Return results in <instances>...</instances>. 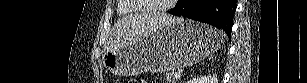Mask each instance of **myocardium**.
Instances as JSON below:
<instances>
[{"label": "myocardium", "instance_id": "myocardium-1", "mask_svg": "<svg viewBox=\"0 0 307 83\" xmlns=\"http://www.w3.org/2000/svg\"><path fill=\"white\" fill-rule=\"evenodd\" d=\"M130 2L139 9L140 12L144 13H150V14H162L167 12L173 3L177 2V0H170L168 3H166L164 6L156 8V9H147L145 6H143L141 3V0H130Z\"/></svg>", "mask_w": 307, "mask_h": 83}]
</instances>
